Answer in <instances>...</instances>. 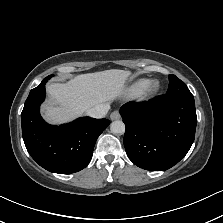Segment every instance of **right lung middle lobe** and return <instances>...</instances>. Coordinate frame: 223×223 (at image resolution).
<instances>
[{
  "label": "right lung middle lobe",
  "instance_id": "1",
  "mask_svg": "<svg viewBox=\"0 0 223 223\" xmlns=\"http://www.w3.org/2000/svg\"><path fill=\"white\" fill-rule=\"evenodd\" d=\"M53 75H50L48 77H46L42 82H46L48 79H50Z\"/></svg>",
  "mask_w": 223,
  "mask_h": 223
}]
</instances>
